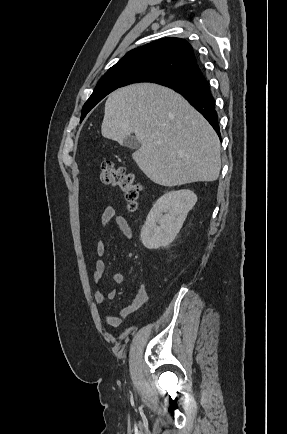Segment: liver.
<instances>
[{
	"instance_id": "1",
	"label": "liver",
	"mask_w": 287,
	"mask_h": 434,
	"mask_svg": "<svg viewBox=\"0 0 287 434\" xmlns=\"http://www.w3.org/2000/svg\"><path fill=\"white\" fill-rule=\"evenodd\" d=\"M102 136L120 144L132 133L141 147L132 157L161 186L217 180L220 141L180 94L155 84H136L111 93L105 103Z\"/></svg>"
}]
</instances>
